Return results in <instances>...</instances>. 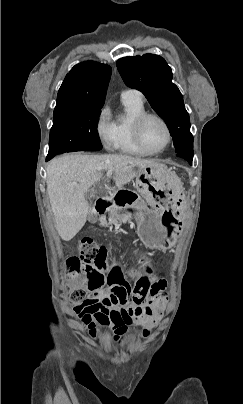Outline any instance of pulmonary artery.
Here are the masks:
<instances>
[{"mask_svg":"<svg viewBox=\"0 0 243 404\" xmlns=\"http://www.w3.org/2000/svg\"><path fill=\"white\" fill-rule=\"evenodd\" d=\"M124 92H126V91H124ZM140 97H142V94H140Z\"/></svg>","mask_w":243,"mask_h":404,"instance_id":"1","label":"pulmonary artery"}]
</instances>
